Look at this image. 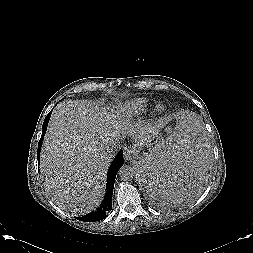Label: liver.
Instances as JSON below:
<instances>
[{"label":"liver","instance_id":"6515ba94","mask_svg":"<svg viewBox=\"0 0 253 253\" xmlns=\"http://www.w3.org/2000/svg\"><path fill=\"white\" fill-rule=\"evenodd\" d=\"M157 127L134 128L120 112L109 113L86 100H66L54 109L43 142L40 171L51 200L74 215L101 203L113 154L107 147L126 133L145 145Z\"/></svg>","mask_w":253,"mask_h":253}]
</instances>
